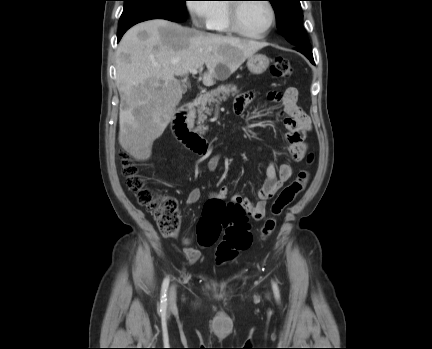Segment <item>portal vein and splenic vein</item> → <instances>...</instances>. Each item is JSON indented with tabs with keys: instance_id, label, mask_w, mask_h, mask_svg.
Here are the masks:
<instances>
[{
	"instance_id": "1",
	"label": "portal vein and splenic vein",
	"mask_w": 432,
	"mask_h": 349,
	"mask_svg": "<svg viewBox=\"0 0 432 349\" xmlns=\"http://www.w3.org/2000/svg\"><path fill=\"white\" fill-rule=\"evenodd\" d=\"M190 72H191L192 74H194V75H195V74H197V73H198V70H197V69H193V70H191Z\"/></svg>"
}]
</instances>
